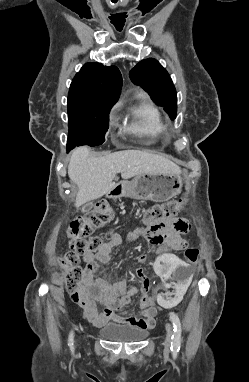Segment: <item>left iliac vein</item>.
<instances>
[{"instance_id": "4c4485c4", "label": "left iliac vein", "mask_w": 249, "mask_h": 382, "mask_svg": "<svg viewBox=\"0 0 249 382\" xmlns=\"http://www.w3.org/2000/svg\"><path fill=\"white\" fill-rule=\"evenodd\" d=\"M166 339H165V346L168 349L170 347V341H171V335L173 333V328L170 323L166 324Z\"/></svg>"}]
</instances>
